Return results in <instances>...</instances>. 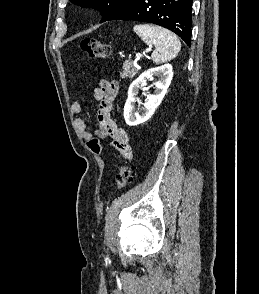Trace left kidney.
I'll list each match as a JSON object with an SVG mask.
<instances>
[{"label":"left kidney","instance_id":"left-kidney-1","mask_svg":"<svg viewBox=\"0 0 259 294\" xmlns=\"http://www.w3.org/2000/svg\"><path fill=\"white\" fill-rule=\"evenodd\" d=\"M155 75L159 76V80L155 83L156 90L153 94H147L143 107L136 110L134 104L139 89H144L147 85V80L153 78ZM172 78V65L165 64L148 69L132 82L128 90V99L124 106V119L127 125L136 126L146 122L152 117L156 108L162 102Z\"/></svg>","mask_w":259,"mask_h":294}]
</instances>
